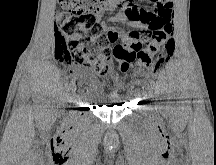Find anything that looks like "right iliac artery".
I'll list each match as a JSON object with an SVG mask.
<instances>
[{
	"label": "right iliac artery",
	"mask_w": 216,
	"mask_h": 165,
	"mask_svg": "<svg viewBox=\"0 0 216 165\" xmlns=\"http://www.w3.org/2000/svg\"><path fill=\"white\" fill-rule=\"evenodd\" d=\"M73 85H74V84H73L72 82L69 84V86H68L69 88L67 89L68 91H67V93H66V94H67L66 96L68 97V99H69L68 101H69L70 103H71V102L73 101V99H74L73 96L70 95L71 92H72L71 90L73 89V88H72Z\"/></svg>",
	"instance_id": "82829eb1"
}]
</instances>
